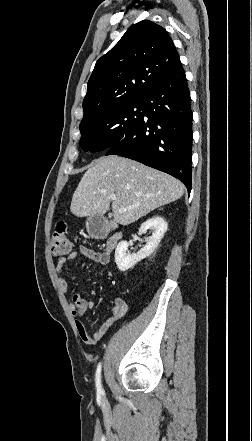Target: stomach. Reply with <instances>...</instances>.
I'll return each instance as SVG.
<instances>
[{
  "label": "stomach",
  "instance_id": "stomach-1",
  "mask_svg": "<svg viewBox=\"0 0 252 441\" xmlns=\"http://www.w3.org/2000/svg\"><path fill=\"white\" fill-rule=\"evenodd\" d=\"M92 220H93V217L91 216V217H89V218L87 219V222H86V227H87V230H88L89 232H91V224H92Z\"/></svg>",
  "mask_w": 252,
  "mask_h": 441
}]
</instances>
